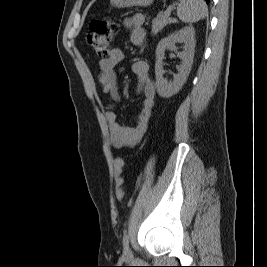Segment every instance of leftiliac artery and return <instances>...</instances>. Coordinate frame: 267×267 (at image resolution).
<instances>
[{"label":"left iliac artery","mask_w":267,"mask_h":267,"mask_svg":"<svg viewBox=\"0 0 267 267\" xmlns=\"http://www.w3.org/2000/svg\"><path fill=\"white\" fill-rule=\"evenodd\" d=\"M128 239H129V237H128V234L127 233H124V236H123V245H127L128 244Z\"/></svg>","instance_id":"44dca946"}]
</instances>
